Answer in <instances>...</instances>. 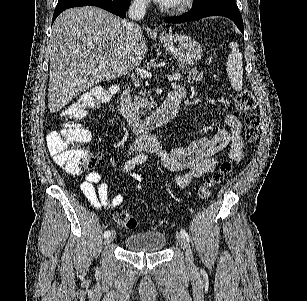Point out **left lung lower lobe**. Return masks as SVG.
<instances>
[{"instance_id":"1","label":"left lung lower lobe","mask_w":307,"mask_h":301,"mask_svg":"<svg viewBox=\"0 0 307 301\" xmlns=\"http://www.w3.org/2000/svg\"><path fill=\"white\" fill-rule=\"evenodd\" d=\"M208 16H224L231 19L243 33V20L238 9L225 7V6H207L203 8H192V10L186 14L178 17H167L165 22L167 23H184L193 20H198Z\"/></svg>"}]
</instances>
